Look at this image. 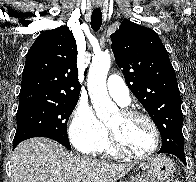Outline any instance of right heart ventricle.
Here are the masks:
<instances>
[{
    "mask_svg": "<svg viewBox=\"0 0 196 182\" xmlns=\"http://www.w3.org/2000/svg\"><path fill=\"white\" fill-rule=\"evenodd\" d=\"M100 153H104L105 155H111L114 156L117 153L112 149L110 142L106 139L105 143L99 150Z\"/></svg>",
    "mask_w": 196,
    "mask_h": 182,
    "instance_id": "1",
    "label": "right heart ventricle"
}]
</instances>
